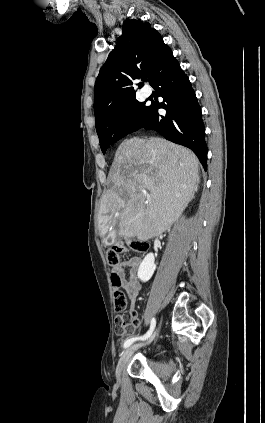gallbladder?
<instances>
[{
	"mask_svg": "<svg viewBox=\"0 0 265 423\" xmlns=\"http://www.w3.org/2000/svg\"><path fill=\"white\" fill-rule=\"evenodd\" d=\"M115 240V235L108 236L107 238H104L103 244L104 246H110Z\"/></svg>",
	"mask_w": 265,
	"mask_h": 423,
	"instance_id": "1",
	"label": "gallbladder"
}]
</instances>
